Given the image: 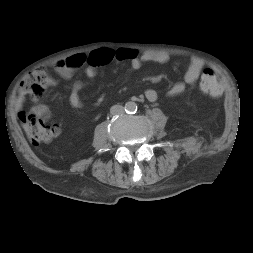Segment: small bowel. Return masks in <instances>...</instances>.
<instances>
[{
	"label": "small bowel",
	"mask_w": 253,
	"mask_h": 253,
	"mask_svg": "<svg viewBox=\"0 0 253 253\" xmlns=\"http://www.w3.org/2000/svg\"><path fill=\"white\" fill-rule=\"evenodd\" d=\"M168 60L169 56L165 53L151 51L139 53L137 50L127 48L117 50L99 48L88 54H76L60 60L56 65V69L64 79H71L78 70H81L87 78L93 79L97 75L98 68L112 62L128 61L130 70L137 71L145 62L166 63ZM203 69V61L200 58H193L184 74L183 80L174 83L166 94L174 96L182 93L188 85L195 83L199 79ZM87 85L88 83L85 81H76L73 84L69 98L71 108L75 110L83 108L80 93ZM145 97L148 101L154 102L157 100L158 94L154 89H147ZM34 113L44 119H49L50 117L49 110L45 106L35 107Z\"/></svg>",
	"instance_id": "small-bowel-1"
}]
</instances>
